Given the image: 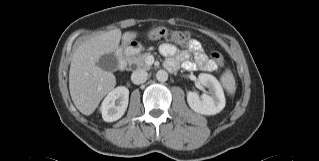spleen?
<instances>
[{"label":"spleen","instance_id":"1","mask_svg":"<svg viewBox=\"0 0 319 161\" xmlns=\"http://www.w3.org/2000/svg\"><path fill=\"white\" fill-rule=\"evenodd\" d=\"M223 87L229 94H233L236 89L235 78L230 70H226L220 77Z\"/></svg>","mask_w":319,"mask_h":161}]
</instances>
